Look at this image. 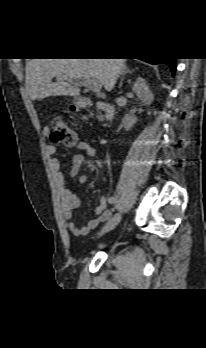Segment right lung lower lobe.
Masks as SVG:
<instances>
[{
    "instance_id": "1",
    "label": "right lung lower lobe",
    "mask_w": 206,
    "mask_h": 348,
    "mask_svg": "<svg viewBox=\"0 0 206 348\" xmlns=\"http://www.w3.org/2000/svg\"><path fill=\"white\" fill-rule=\"evenodd\" d=\"M143 60L147 61L151 64L165 63L170 67L172 74L174 75V73H175V70H176V59L175 58H166V59L153 58V59H143Z\"/></svg>"
}]
</instances>
